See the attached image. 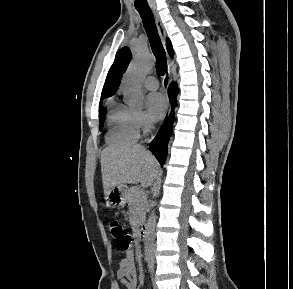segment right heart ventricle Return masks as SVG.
<instances>
[{"label":"right heart ventricle","mask_w":293,"mask_h":289,"mask_svg":"<svg viewBox=\"0 0 293 289\" xmlns=\"http://www.w3.org/2000/svg\"><path fill=\"white\" fill-rule=\"evenodd\" d=\"M107 109V142L118 144L137 140L139 129L135 120V111L114 99L108 101Z\"/></svg>","instance_id":"1"}]
</instances>
